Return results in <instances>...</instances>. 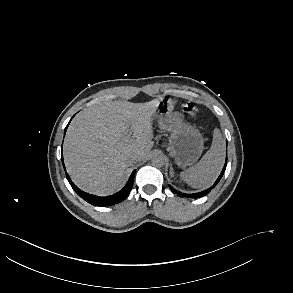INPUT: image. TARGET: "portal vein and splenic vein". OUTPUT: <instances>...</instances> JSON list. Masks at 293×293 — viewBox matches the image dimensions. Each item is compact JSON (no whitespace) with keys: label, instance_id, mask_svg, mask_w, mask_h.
Segmentation results:
<instances>
[{"label":"portal vein and splenic vein","instance_id":"portal-vein-and-splenic-vein-1","mask_svg":"<svg viewBox=\"0 0 293 293\" xmlns=\"http://www.w3.org/2000/svg\"><path fill=\"white\" fill-rule=\"evenodd\" d=\"M131 135H132V132H129L128 138H132L133 136H131Z\"/></svg>","mask_w":293,"mask_h":293}]
</instances>
